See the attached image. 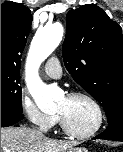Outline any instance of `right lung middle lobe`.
Here are the masks:
<instances>
[{
    "label": "right lung middle lobe",
    "mask_w": 123,
    "mask_h": 152,
    "mask_svg": "<svg viewBox=\"0 0 123 152\" xmlns=\"http://www.w3.org/2000/svg\"><path fill=\"white\" fill-rule=\"evenodd\" d=\"M20 71L1 69V109L22 113Z\"/></svg>",
    "instance_id": "right-lung-middle-lobe-1"
}]
</instances>
